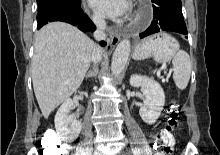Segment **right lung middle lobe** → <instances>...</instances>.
I'll return each instance as SVG.
<instances>
[{
    "label": "right lung middle lobe",
    "instance_id": "dd1d6c3e",
    "mask_svg": "<svg viewBox=\"0 0 220 155\" xmlns=\"http://www.w3.org/2000/svg\"><path fill=\"white\" fill-rule=\"evenodd\" d=\"M38 11L57 6V5H81V0H37Z\"/></svg>",
    "mask_w": 220,
    "mask_h": 155
}]
</instances>
